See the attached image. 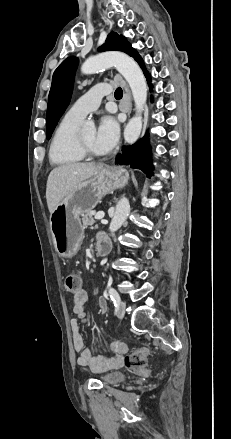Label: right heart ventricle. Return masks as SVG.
<instances>
[{"mask_svg":"<svg viewBox=\"0 0 231 439\" xmlns=\"http://www.w3.org/2000/svg\"><path fill=\"white\" fill-rule=\"evenodd\" d=\"M80 123L65 115L56 127L49 145V159L53 165L68 167L84 160L75 142Z\"/></svg>","mask_w":231,"mask_h":439,"instance_id":"e07e8e85","label":"right heart ventricle"}]
</instances>
